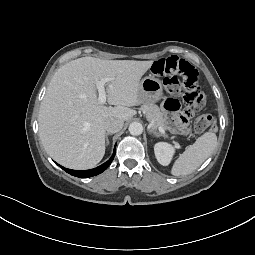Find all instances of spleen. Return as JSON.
Segmentation results:
<instances>
[{"label": "spleen", "mask_w": 255, "mask_h": 255, "mask_svg": "<svg viewBox=\"0 0 255 255\" xmlns=\"http://www.w3.org/2000/svg\"><path fill=\"white\" fill-rule=\"evenodd\" d=\"M216 146V134L213 132L204 133L179 155L173 164L171 174L184 176L194 172L213 153Z\"/></svg>", "instance_id": "1"}]
</instances>
